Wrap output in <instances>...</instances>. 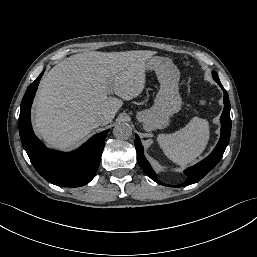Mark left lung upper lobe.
<instances>
[{"mask_svg": "<svg viewBox=\"0 0 257 257\" xmlns=\"http://www.w3.org/2000/svg\"><path fill=\"white\" fill-rule=\"evenodd\" d=\"M212 74H213L214 80H215L217 83H220V80H219V78H218L217 73H216L215 71H213Z\"/></svg>", "mask_w": 257, "mask_h": 257, "instance_id": "5c2ea615", "label": "left lung upper lobe"}]
</instances>
